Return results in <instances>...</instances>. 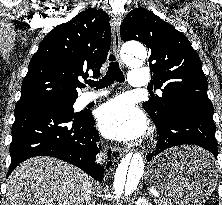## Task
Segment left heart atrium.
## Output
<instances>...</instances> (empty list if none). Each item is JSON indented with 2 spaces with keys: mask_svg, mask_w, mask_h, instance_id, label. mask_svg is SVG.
<instances>
[{
  "mask_svg": "<svg viewBox=\"0 0 222 205\" xmlns=\"http://www.w3.org/2000/svg\"><path fill=\"white\" fill-rule=\"evenodd\" d=\"M101 132L116 140H133L146 130L144 114L126 97H118L102 105L97 113Z\"/></svg>",
  "mask_w": 222,
  "mask_h": 205,
  "instance_id": "left-heart-atrium-1",
  "label": "left heart atrium"
}]
</instances>
